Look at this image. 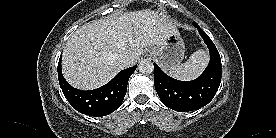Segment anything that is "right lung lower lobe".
Listing matches in <instances>:
<instances>
[{
	"instance_id": "1",
	"label": "right lung lower lobe",
	"mask_w": 276,
	"mask_h": 138,
	"mask_svg": "<svg viewBox=\"0 0 276 138\" xmlns=\"http://www.w3.org/2000/svg\"><path fill=\"white\" fill-rule=\"evenodd\" d=\"M136 66L119 72L106 85L83 91L72 87L63 77L61 57L58 63V79L62 92L71 106L85 115L100 117L115 111L122 103L127 91V84Z\"/></svg>"
}]
</instances>
